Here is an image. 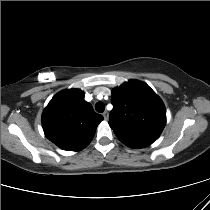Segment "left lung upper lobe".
Returning <instances> with one entry per match:
<instances>
[{"label": "left lung upper lobe", "instance_id": "obj_1", "mask_svg": "<svg viewBox=\"0 0 210 210\" xmlns=\"http://www.w3.org/2000/svg\"><path fill=\"white\" fill-rule=\"evenodd\" d=\"M109 125L118 139L131 148L151 145L166 124L162 100L145 83L129 81L112 90Z\"/></svg>", "mask_w": 210, "mask_h": 210}]
</instances>
